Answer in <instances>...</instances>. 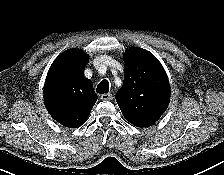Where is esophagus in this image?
Masks as SVG:
<instances>
[{"mask_svg":"<svg viewBox=\"0 0 224 175\" xmlns=\"http://www.w3.org/2000/svg\"><path fill=\"white\" fill-rule=\"evenodd\" d=\"M100 99H101L102 101H110V100L113 99V96H112V94H110V93H105V94H102V95L100 96Z\"/></svg>","mask_w":224,"mask_h":175,"instance_id":"esophagus-1","label":"esophagus"}]
</instances>
